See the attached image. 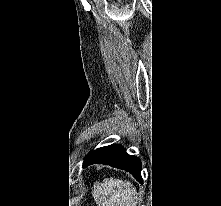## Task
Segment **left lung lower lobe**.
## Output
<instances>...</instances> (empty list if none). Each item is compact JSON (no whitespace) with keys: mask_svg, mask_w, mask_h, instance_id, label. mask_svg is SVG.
Here are the masks:
<instances>
[{"mask_svg":"<svg viewBox=\"0 0 221 206\" xmlns=\"http://www.w3.org/2000/svg\"><path fill=\"white\" fill-rule=\"evenodd\" d=\"M94 163L107 164L112 167L124 169L142 182L140 160L135 156L127 154L126 150L120 145L104 146L90 152L85 157L83 166L86 167Z\"/></svg>","mask_w":221,"mask_h":206,"instance_id":"obj_1","label":"left lung lower lobe"}]
</instances>
